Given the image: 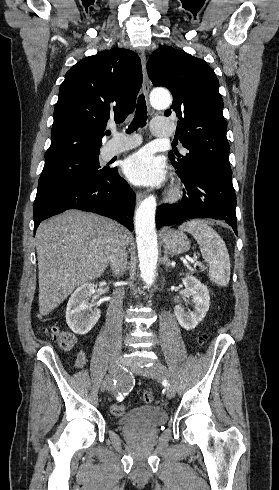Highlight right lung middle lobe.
<instances>
[{"mask_svg":"<svg viewBox=\"0 0 279 490\" xmlns=\"http://www.w3.org/2000/svg\"><path fill=\"white\" fill-rule=\"evenodd\" d=\"M98 155L81 156L45 163L39 178L38 188L46 185L92 180L107 176L112 168H102L99 165Z\"/></svg>","mask_w":279,"mask_h":490,"instance_id":"dd1d6c3e","label":"right lung middle lobe"}]
</instances>
